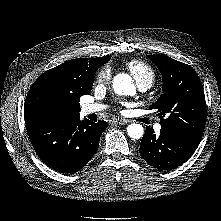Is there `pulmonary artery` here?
Masks as SVG:
<instances>
[{"instance_id":"1","label":"pulmonary artery","mask_w":221,"mask_h":221,"mask_svg":"<svg viewBox=\"0 0 221 221\" xmlns=\"http://www.w3.org/2000/svg\"><path fill=\"white\" fill-rule=\"evenodd\" d=\"M149 87H150V85H148V84H138V88L141 91H146ZM103 109H104V106L100 105V104H85L82 107L81 111H82L83 115H88V114H91V113L99 112ZM155 130L157 132L160 131L161 130V125L156 124L155 125Z\"/></svg>"}]
</instances>
